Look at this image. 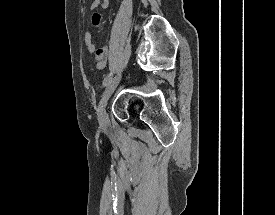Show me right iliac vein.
<instances>
[{
	"instance_id": "obj_1",
	"label": "right iliac vein",
	"mask_w": 275,
	"mask_h": 215,
	"mask_svg": "<svg viewBox=\"0 0 275 215\" xmlns=\"http://www.w3.org/2000/svg\"><path fill=\"white\" fill-rule=\"evenodd\" d=\"M121 79V75L118 74L115 77H112L109 82L107 83V87L105 89V92L103 94V97L99 103L98 107V118L99 122L103 127H107L109 124V116L108 113L106 112V105L107 102L114 92L115 88L117 87L119 81Z\"/></svg>"
}]
</instances>
